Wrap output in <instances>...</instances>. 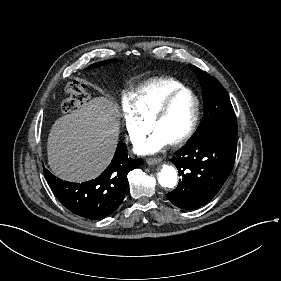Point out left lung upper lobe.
Instances as JSON below:
<instances>
[{"label":"left lung upper lobe","mask_w":281,"mask_h":281,"mask_svg":"<svg viewBox=\"0 0 281 281\" xmlns=\"http://www.w3.org/2000/svg\"><path fill=\"white\" fill-rule=\"evenodd\" d=\"M189 68L200 81L204 104V117L193 137L207 131L237 136L236 116L223 86L196 66L189 65Z\"/></svg>","instance_id":"5c2ea615"}]
</instances>
